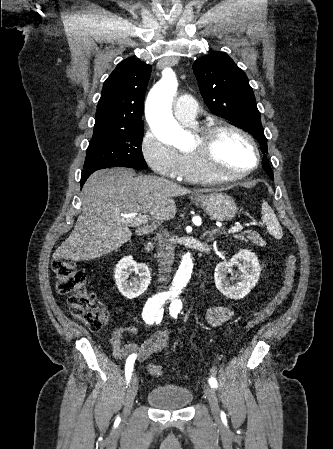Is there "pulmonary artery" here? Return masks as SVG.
<instances>
[{
    "label": "pulmonary artery",
    "mask_w": 333,
    "mask_h": 449,
    "mask_svg": "<svg viewBox=\"0 0 333 449\" xmlns=\"http://www.w3.org/2000/svg\"><path fill=\"white\" fill-rule=\"evenodd\" d=\"M174 115L176 119L185 125H195L197 117V104L190 95H183L175 103Z\"/></svg>",
    "instance_id": "pulmonary-artery-1"
}]
</instances>
